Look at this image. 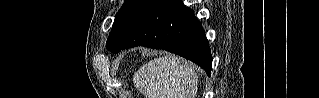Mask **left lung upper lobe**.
Masks as SVG:
<instances>
[{"mask_svg":"<svg viewBox=\"0 0 319 98\" xmlns=\"http://www.w3.org/2000/svg\"><path fill=\"white\" fill-rule=\"evenodd\" d=\"M157 0H126L115 16L106 48L116 52L137 31L145 16Z\"/></svg>","mask_w":319,"mask_h":98,"instance_id":"1","label":"left lung upper lobe"}]
</instances>
